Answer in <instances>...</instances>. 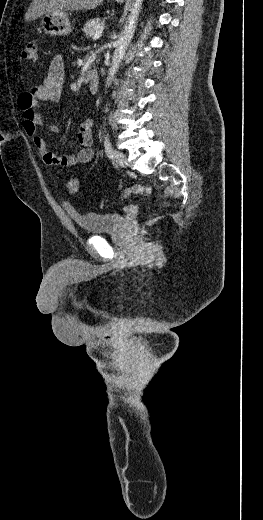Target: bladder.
Segmentation results:
<instances>
[{
  "label": "bladder",
  "mask_w": 263,
  "mask_h": 520,
  "mask_svg": "<svg viewBox=\"0 0 263 520\" xmlns=\"http://www.w3.org/2000/svg\"><path fill=\"white\" fill-rule=\"evenodd\" d=\"M73 219L86 234L98 235L118 232L125 228L127 219L119 213H84L75 214Z\"/></svg>",
  "instance_id": "1"
}]
</instances>
